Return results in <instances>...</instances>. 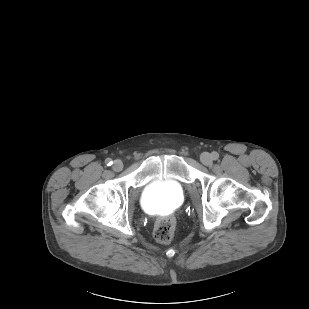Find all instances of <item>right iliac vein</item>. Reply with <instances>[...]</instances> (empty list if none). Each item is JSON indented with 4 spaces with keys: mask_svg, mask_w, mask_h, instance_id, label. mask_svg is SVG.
<instances>
[{
    "mask_svg": "<svg viewBox=\"0 0 309 309\" xmlns=\"http://www.w3.org/2000/svg\"><path fill=\"white\" fill-rule=\"evenodd\" d=\"M112 168L114 171L116 172H119L123 169V163L121 160H115L113 165H112Z\"/></svg>",
    "mask_w": 309,
    "mask_h": 309,
    "instance_id": "1",
    "label": "right iliac vein"
}]
</instances>
